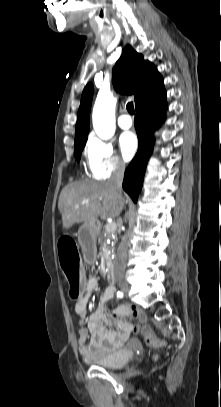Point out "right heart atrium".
Returning a JSON list of instances; mask_svg holds the SVG:
<instances>
[{"instance_id": "right-heart-atrium-1", "label": "right heart atrium", "mask_w": 221, "mask_h": 407, "mask_svg": "<svg viewBox=\"0 0 221 407\" xmlns=\"http://www.w3.org/2000/svg\"><path fill=\"white\" fill-rule=\"evenodd\" d=\"M84 153L88 171L96 179H105L125 166L113 145L96 137L87 141Z\"/></svg>"}]
</instances>
